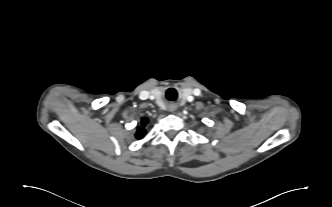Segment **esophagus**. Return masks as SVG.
<instances>
[{"label": "esophagus", "mask_w": 332, "mask_h": 207, "mask_svg": "<svg viewBox=\"0 0 332 207\" xmlns=\"http://www.w3.org/2000/svg\"><path fill=\"white\" fill-rule=\"evenodd\" d=\"M170 111H173L174 109H169Z\"/></svg>", "instance_id": "1"}]
</instances>
